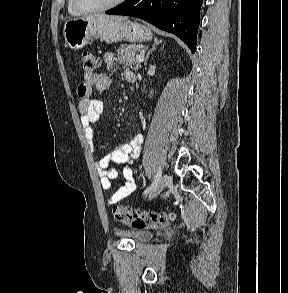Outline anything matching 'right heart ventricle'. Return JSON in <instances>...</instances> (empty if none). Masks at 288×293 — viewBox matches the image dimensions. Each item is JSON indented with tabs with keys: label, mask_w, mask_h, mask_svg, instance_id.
<instances>
[{
	"label": "right heart ventricle",
	"mask_w": 288,
	"mask_h": 293,
	"mask_svg": "<svg viewBox=\"0 0 288 293\" xmlns=\"http://www.w3.org/2000/svg\"><path fill=\"white\" fill-rule=\"evenodd\" d=\"M67 9H68V12L73 15V16H79L81 15L80 12L76 11L73 6H72V3H71V0H68L67 2Z\"/></svg>",
	"instance_id": "obj_1"
}]
</instances>
